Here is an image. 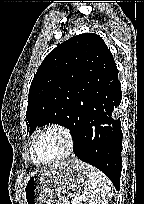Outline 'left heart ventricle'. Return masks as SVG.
I'll return each instance as SVG.
<instances>
[{"label":"left heart ventricle","mask_w":144,"mask_h":204,"mask_svg":"<svg viewBox=\"0 0 144 204\" xmlns=\"http://www.w3.org/2000/svg\"><path fill=\"white\" fill-rule=\"evenodd\" d=\"M66 150L63 135L56 131H47L37 140L35 152L41 161H52L60 157Z\"/></svg>","instance_id":"b2bd125f"}]
</instances>
